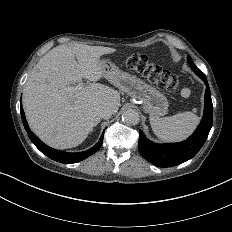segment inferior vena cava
I'll return each instance as SVG.
<instances>
[{
	"label": "inferior vena cava",
	"mask_w": 232,
	"mask_h": 232,
	"mask_svg": "<svg viewBox=\"0 0 232 232\" xmlns=\"http://www.w3.org/2000/svg\"><path fill=\"white\" fill-rule=\"evenodd\" d=\"M97 114L100 118L108 119L112 116V114H114V111L109 107L100 106L97 109Z\"/></svg>",
	"instance_id": "602c4592"
}]
</instances>
